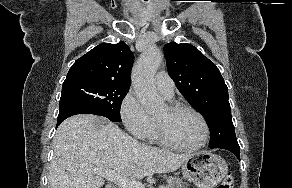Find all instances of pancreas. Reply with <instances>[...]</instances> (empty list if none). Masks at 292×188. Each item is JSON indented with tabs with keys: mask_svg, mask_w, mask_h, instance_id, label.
I'll return each mask as SVG.
<instances>
[{
	"mask_svg": "<svg viewBox=\"0 0 292 188\" xmlns=\"http://www.w3.org/2000/svg\"><path fill=\"white\" fill-rule=\"evenodd\" d=\"M167 184L164 188H187L188 184L180 178L168 176L166 177Z\"/></svg>",
	"mask_w": 292,
	"mask_h": 188,
	"instance_id": "cf45deb5",
	"label": "pancreas"
}]
</instances>
